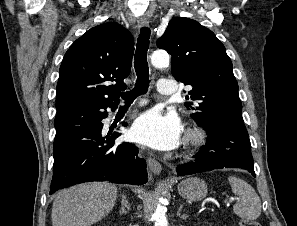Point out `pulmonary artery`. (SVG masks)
Returning <instances> with one entry per match:
<instances>
[{"label":"pulmonary artery","mask_w":297,"mask_h":226,"mask_svg":"<svg viewBox=\"0 0 297 226\" xmlns=\"http://www.w3.org/2000/svg\"><path fill=\"white\" fill-rule=\"evenodd\" d=\"M157 90L161 95H174L176 93V84L170 79H160L157 84Z\"/></svg>","instance_id":"pulmonary-artery-1"}]
</instances>
